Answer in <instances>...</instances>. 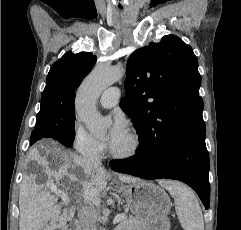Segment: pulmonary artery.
Instances as JSON below:
<instances>
[{
    "label": "pulmonary artery",
    "mask_w": 241,
    "mask_h": 230,
    "mask_svg": "<svg viewBox=\"0 0 241 230\" xmlns=\"http://www.w3.org/2000/svg\"><path fill=\"white\" fill-rule=\"evenodd\" d=\"M119 97L120 90L118 88H108L102 93L100 97V104L104 108H111L117 104Z\"/></svg>",
    "instance_id": "pulmonary-artery-1"
}]
</instances>
